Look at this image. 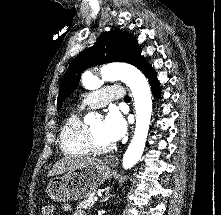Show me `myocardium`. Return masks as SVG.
<instances>
[{
    "instance_id": "1",
    "label": "myocardium",
    "mask_w": 221,
    "mask_h": 215,
    "mask_svg": "<svg viewBox=\"0 0 221 215\" xmlns=\"http://www.w3.org/2000/svg\"><path fill=\"white\" fill-rule=\"evenodd\" d=\"M87 140L89 149L95 153H108L113 150V145H101L97 142L94 133L90 127L87 130Z\"/></svg>"
}]
</instances>
